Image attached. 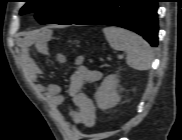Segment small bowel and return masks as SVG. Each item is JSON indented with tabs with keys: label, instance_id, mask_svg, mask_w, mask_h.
I'll list each match as a JSON object with an SVG mask.
<instances>
[{
	"label": "small bowel",
	"instance_id": "small-bowel-1",
	"mask_svg": "<svg viewBox=\"0 0 182 140\" xmlns=\"http://www.w3.org/2000/svg\"><path fill=\"white\" fill-rule=\"evenodd\" d=\"M36 48L44 52L45 43L38 41ZM58 64H65L67 59L62 53L55 55ZM22 62L25 67L28 78L34 83L36 91L43 97L54 113L59 112L60 106L64 102L60 87L53 83H42L43 73L36 61L30 56L29 50L25 48L22 53ZM83 56H78L74 61L75 69L69 79L68 94L72 99L69 107V115L75 126L92 127L95 124L96 108L93 100L83 92L85 84H92L99 81L102 73L92 70L84 64Z\"/></svg>",
	"mask_w": 182,
	"mask_h": 140
}]
</instances>
